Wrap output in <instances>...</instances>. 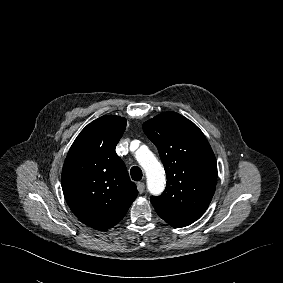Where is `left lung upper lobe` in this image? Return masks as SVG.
Masks as SVG:
<instances>
[{"instance_id": "1", "label": "left lung upper lobe", "mask_w": 283, "mask_h": 283, "mask_svg": "<svg viewBox=\"0 0 283 283\" xmlns=\"http://www.w3.org/2000/svg\"><path fill=\"white\" fill-rule=\"evenodd\" d=\"M143 130L158 148L167 186L151 202L171 226H187L208 208L216 188L215 155L202 131L176 112H164L146 121Z\"/></svg>"}]
</instances>
